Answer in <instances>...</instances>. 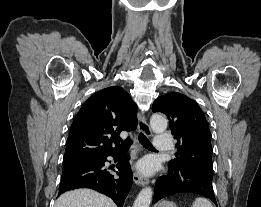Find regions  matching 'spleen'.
Listing matches in <instances>:
<instances>
[{
  "label": "spleen",
  "mask_w": 261,
  "mask_h": 207,
  "mask_svg": "<svg viewBox=\"0 0 261 207\" xmlns=\"http://www.w3.org/2000/svg\"><path fill=\"white\" fill-rule=\"evenodd\" d=\"M192 207H213V205L207 199L199 197L194 200Z\"/></svg>",
  "instance_id": "3e777b00"
}]
</instances>
